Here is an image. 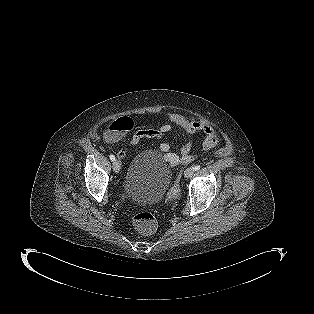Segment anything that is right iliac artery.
Here are the masks:
<instances>
[{"instance_id": "obj_1", "label": "right iliac artery", "mask_w": 314, "mask_h": 314, "mask_svg": "<svg viewBox=\"0 0 314 314\" xmlns=\"http://www.w3.org/2000/svg\"><path fill=\"white\" fill-rule=\"evenodd\" d=\"M109 158H110L111 161H115V156L114 155H110Z\"/></svg>"}]
</instances>
